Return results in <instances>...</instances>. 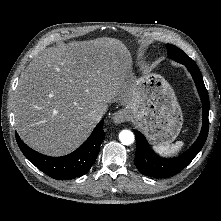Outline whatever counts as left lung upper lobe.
I'll return each mask as SVG.
<instances>
[{"label": "left lung upper lobe", "instance_id": "1", "mask_svg": "<svg viewBox=\"0 0 221 221\" xmlns=\"http://www.w3.org/2000/svg\"><path fill=\"white\" fill-rule=\"evenodd\" d=\"M166 47L169 58L182 64L193 62L190 57H188L181 49L175 47L174 45L167 44Z\"/></svg>", "mask_w": 221, "mask_h": 221}]
</instances>
